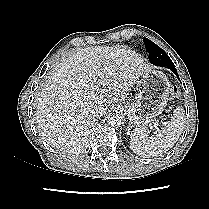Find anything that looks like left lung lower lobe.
<instances>
[{
	"mask_svg": "<svg viewBox=\"0 0 209 209\" xmlns=\"http://www.w3.org/2000/svg\"><path fill=\"white\" fill-rule=\"evenodd\" d=\"M174 73H175V75L178 77V79H179V76H178V73H177V70L176 69H171Z\"/></svg>",
	"mask_w": 209,
	"mask_h": 209,
	"instance_id": "1",
	"label": "left lung lower lobe"
}]
</instances>
